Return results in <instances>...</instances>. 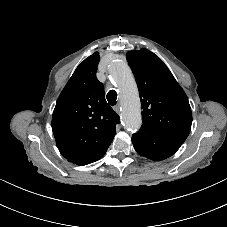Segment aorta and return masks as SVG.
<instances>
[{"instance_id": "762f6f07", "label": "aorta", "mask_w": 227, "mask_h": 227, "mask_svg": "<svg viewBox=\"0 0 227 227\" xmlns=\"http://www.w3.org/2000/svg\"><path fill=\"white\" fill-rule=\"evenodd\" d=\"M109 74L121 92L123 125L127 130L136 131L141 126V111L131 71L124 61L114 60L109 65Z\"/></svg>"}]
</instances>
